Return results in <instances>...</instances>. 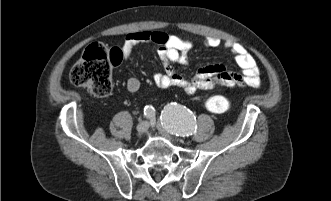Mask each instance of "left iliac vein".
Here are the masks:
<instances>
[{"label": "left iliac vein", "mask_w": 331, "mask_h": 201, "mask_svg": "<svg viewBox=\"0 0 331 201\" xmlns=\"http://www.w3.org/2000/svg\"><path fill=\"white\" fill-rule=\"evenodd\" d=\"M161 134H162L165 138H167V139H169V140H172V141H178V140H180L179 138L172 136L169 132H167V131H165V130H161Z\"/></svg>", "instance_id": "4c4485c4"}]
</instances>
